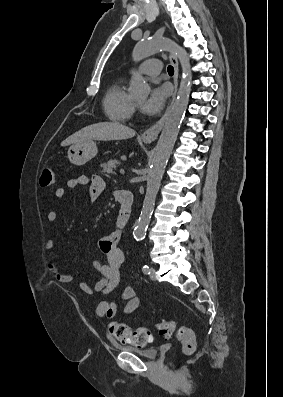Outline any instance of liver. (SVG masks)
<instances>
[{"mask_svg": "<svg viewBox=\"0 0 283 397\" xmlns=\"http://www.w3.org/2000/svg\"><path fill=\"white\" fill-rule=\"evenodd\" d=\"M135 130L118 122H99L86 126L66 138L61 146H68L88 140H124L134 137Z\"/></svg>", "mask_w": 283, "mask_h": 397, "instance_id": "obj_1", "label": "liver"}]
</instances>
